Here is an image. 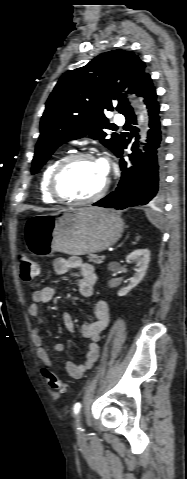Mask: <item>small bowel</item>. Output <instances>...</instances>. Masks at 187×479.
Instances as JSON below:
<instances>
[{"label":"small bowel","instance_id":"1","mask_svg":"<svg viewBox=\"0 0 187 479\" xmlns=\"http://www.w3.org/2000/svg\"><path fill=\"white\" fill-rule=\"evenodd\" d=\"M54 271L60 275H66L77 271L78 273V291L82 297H90L93 294L97 282V276L91 264L83 261L78 256L69 258H57L53 262ZM56 294L54 286H46L33 293L32 303L28 307L29 315L34 318L38 324L43 325L44 319L40 311V304L50 302ZM111 310L108 303L104 300L96 302L93 316L81 327V334L89 340L85 359L82 363H75L72 360L65 362V369L68 375L76 380L81 379L86 372L90 371L99 357V341L102 331L109 323ZM63 324L69 333L75 329L74 319L71 313L64 312L62 316ZM32 341L36 348L38 358L43 362L42 374L45 377L47 370L53 372V363L49 353L44 347L43 337L39 329L32 331ZM53 349L57 353L66 351V345L62 342L55 343Z\"/></svg>","mask_w":187,"mask_h":479}]
</instances>
